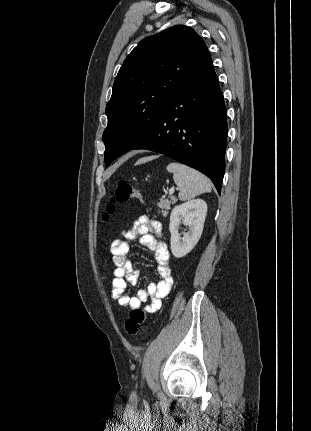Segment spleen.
Here are the masks:
<instances>
[{
	"mask_svg": "<svg viewBox=\"0 0 311 431\" xmlns=\"http://www.w3.org/2000/svg\"><path fill=\"white\" fill-rule=\"evenodd\" d=\"M167 172L173 174V180L176 186L180 188L178 198L181 202L192 200V198L205 194V192H211V184L208 178L200 174V172H196L193 168L172 162V164H168Z\"/></svg>",
	"mask_w": 311,
	"mask_h": 431,
	"instance_id": "1",
	"label": "spleen"
}]
</instances>
